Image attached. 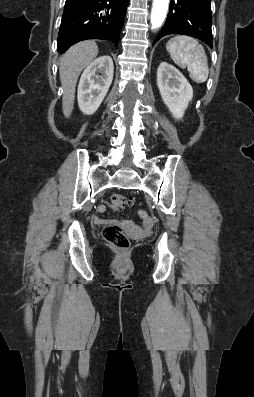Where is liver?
<instances>
[{
	"instance_id": "1",
	"label": "liver",
	"mask_w": 254,
	"mask_h": 397,
	"mask_svg": "<svg viewBox=\"0 0 254 397\" xmlns=\"http://www.w3.org/2000/svg\"><path fill=\"white\" fill-rule=\"evenodd\" d=\"M97 55V44L94 41H83L72 46L60 59L59 74L64 91L62 110L66 118L70 117L73 110L78 77Z\"/></svg>"
}]
</instances>
